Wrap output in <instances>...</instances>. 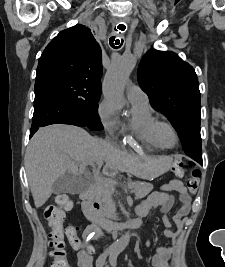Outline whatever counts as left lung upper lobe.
I'll list each match as a JSON object with an SVG mask.
<instances>
[{"label": "left lung upper lobe", "mask_w": 225, "mask_h": 267, "mask_svg": "<svg viewBox=\"0 0 225 267\" xmlns=\"http://www.w3.org/2000/svg\"><path fill=\"white\" fill-rule=\"evenodd\" d=\"M138 82L151 106L176 129L185 153L202 162L200 91L195 70L170 51H148L139 64Z\"/></svg>", "instance_id": "obj_1"}]
</instances>
